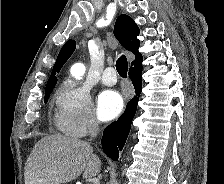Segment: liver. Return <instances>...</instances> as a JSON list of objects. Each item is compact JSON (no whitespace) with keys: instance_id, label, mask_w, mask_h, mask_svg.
I'll return each mask as SVG.
<instances>
[{"instance_id":"6515ba94","label":"liver","mask_w":224,"mask_h":184,"mask_svg":"<svg viewBox=\"0 0 224 184\" xmlns=\"http://www.w3.org/2000/svg\"><path fill=\"white\" fill-rule=\"evenodd\" d=\"M100 158L83 140L64 135H48L33 148L25 165V184H66L78 178L96 176Z\"/></svg>"}]
</instances>
